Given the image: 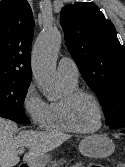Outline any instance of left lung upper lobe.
<instances>
[{
	"mask_svg": "<svg viewBox=\"0 0 125 167\" xmlns=\"http://www.w3.org/2000/svg\"><path fill=\"white\" fill-rule=\"evenodd\" d=\"M66 46L79 71L103 105L110 129H125V47L99 8L79 2L60 15Z\"/></svg>",
	"mask_w": 125,
	"mask_h": 167,
	"instance_id": "obj_1",
	"label": "left lung upper lobe"
}]
</instances>
